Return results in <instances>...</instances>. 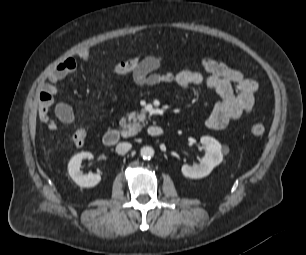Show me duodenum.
<instances>
[{
    "label": "duodenum",
    "mask_w": 306,
    "mask_h": 255,
    "mask_svg": "<svg viewBox=\"0 0 306 255\" xmlns=\"http://www.w3.org/2000/svg\"><path fill=\"white\" fill-rule=\"evenodd\" d=\"M151 137H160L163 134V128L160 126H150L147 130ZM120 140V131L117 129H109L103 135V143L106 146H114Z\"/></svg>",
    "instance_id": "obj_1"
}]
</instances>
